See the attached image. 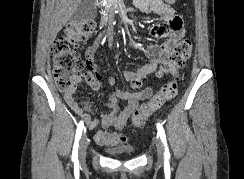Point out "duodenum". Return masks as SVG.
<instances>
[{
  "label": "duodenum",
  "instance_id": "1",
  "mask_svg": "<svg viewBox=\"0 0 244 179\" xmlns=\"http://www.w3.org/2000/svg\"><path fill=\"white\" fill-rule=\"evenodd\" d=\"M98 6H103L105 0H96Z\"/></svg>",
  "mask_w": 244,
  "mask_h": 179
}]
</instances>
